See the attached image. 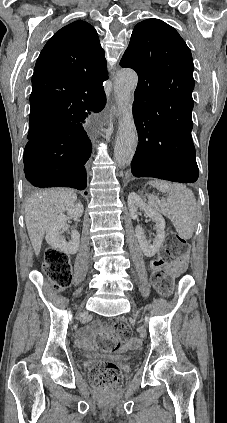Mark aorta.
<instances>
[{"label":"aorta","instance_id":"1","mask_svg":"<svg viewBox=\"0 0 227 423\" xmlns=\"http://www.w3.org/2000/svg\"><path fill=\"white\" fill-rule=\"evenodd\" d=\"M138 76L131 69L120 70L115 77L114 91L120 114L114 160L120 167L130 164L137 147V131L132 116L133 93Z\"/></svg>","mask_w":227,"mask_h":423}]
</instances>
